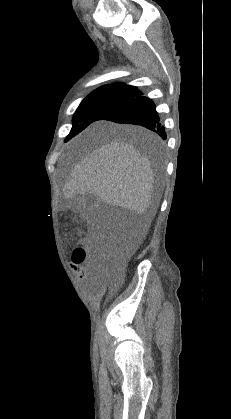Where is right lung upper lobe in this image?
Listing matches in <instances>:
<instances>
[{
	"instance_id": "cb5924a9",
	"label": "right lung upper lobe",
	"mask_w": 231,
	"mask_h": 419,
	"mask_svg": "<svg viewBox=\"0 0 231 419\" xmlns=\"http://www.w3.org/2000/svg\"><path fill=\"white\" fill-rule=\"evenodd\" d=\"M106 86H112V87H132L129 85H124V84H110V85H106ZM105 87V86H103Z\"/></svg>"
}]
</instances>
